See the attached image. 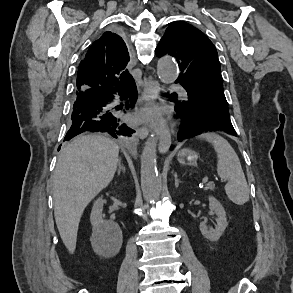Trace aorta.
Masks as SVG:
<instances>
[{
	"instance_id": "obj_1",
	"label": "aorta",
	"mask_w": 293,
	"mask_h": 293,
	"mask_svg": "<svg viewBox=\"0 0 293 293\" xmlns=\"http://www.w3.org/2000/svg\"><path fill=\"white\" fill-rule=\"evenodd\" d=\"M157 74L160 80L166 84L173 83L178 76L174 59L164 56L159 59ZM157 139L148 138L141 154V189L147 202L159 199L161 193V181L156 167Z\"/></svg>"
}]
</instances>
